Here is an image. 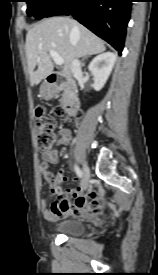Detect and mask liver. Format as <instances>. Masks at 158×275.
<instances>
[{"label": "liver", "mask_w": 158, "mask_h": 275, "mask_svg": "<svg viewBox=\"0 0 158 275\" xmlns=\"http://www.w3.org/2000/svg\"><path fill=\"white\" fill-rule=\"evenodd\" d=\"M51 49L63 58L66 72L74 59L106 50L99 37L73 19L62 16L44 19L26 35L25 50L32 86L52 73Z\"/></svg>", "instance_id": "obj_1"}]
</instances>
